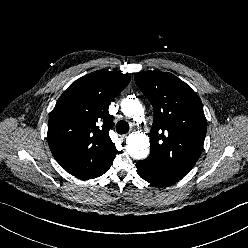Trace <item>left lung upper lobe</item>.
<instances>
[{
    "label": "left lung upper lobe",
    "mask_w": 248,
    "mask_h": 248,
    "mask_svg": "<svg viewBox=\"0 0 248 248\" xmlns=\"http://www.w3.org/2000/svg\"><path fill=\"white\" fill-rule=\"evenodd\" d=\"M135 82L154 109L149 157L183 178L203 150L207 122L202 103L189 85L170 73L140 72Z\"/></svg>",
    "instance_id": "1"
}]
</instances>
